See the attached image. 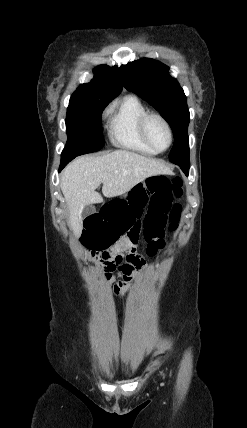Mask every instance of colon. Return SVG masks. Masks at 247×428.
<instances>
[{"label": "colon", "instance_id": "5ec220e1", "mask_svg": "<svg viewBox=\"0 0 247 428\" xmlns=\"http://www.w3.org/2000/svg\"><path fill=\"white\" fill-rule=\"evenodd\" d=\"M182 180L175 177H152L136 186L129 199L118 194L110 204H101L100 212H88L85 217L84 234L79 235L80 243H87V251H99L100 262L107 279L119 267L121 259L114 257L116 239L128 238L137 245L141 236L148 242L147 252L155 255L162 246L164 228L167 221L174 229L180 218L181 207L175 202L182 196ZM127 261L140 267L144 264L136 249L132 248Z\"/></svg>", "mask_w": 247, "mask_h": 428}]
</instances>
